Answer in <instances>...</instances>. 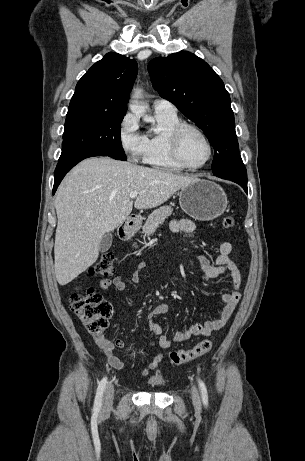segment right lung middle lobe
<instances>
[{
	"mask_svg": "<svg viewBox=\"0 0 305 461\" xmlns=\"http://www.w3.org/2000/svg\"><path fill=\"white\" fill-rule=\"evenodd\" d=\"M124 116L91 109H68L58 162L88 154L107 155L125 161L120 138V124Z\"/></svg>",
	"mask_w": 305,
	"mask_h": 461,
	"instance_id": "1",
	"label": "right lung middle lobe"
}]
</instances>
